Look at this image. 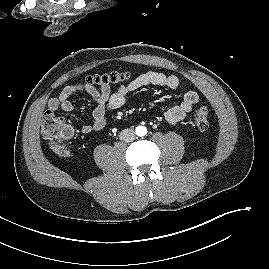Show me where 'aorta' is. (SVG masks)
Returning a JSON list of instances; mask_svg holds the SVG:
<instances>
[{
    "label": "aorta",
    "instance_id": "obj_1",
    "mask_svg": "<svg viewBox=\"0 0 269 269\" xmlns=\"http://www.w3.org/2000/svg\"><path fill=\"white\" fill-rule=\"evenodd\" d=\"M147 133V128L145 126H138L136 128V134L141 137V136H145Z\"/></svg>",
    "mask_w": 269,
    "mask_h": 269
}]
</instances>
